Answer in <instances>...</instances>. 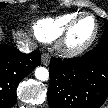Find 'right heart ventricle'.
<instances>
[{
  "instance_id": "obj_1",
  "label": "right heart ventricle",
  "mask_w": 108,
  "mask_h": 108,
  "mask_svg": "<svg viewBox=\"0 0 108 108\" xmlns=\"http://www.w3.org/2000/svg\"><path fill=\"white\" fill-rule=\"evenodd\" d=\"M77 17V14H67L56 17H45L37 20L32 29L34 35L43 42L58 38L65 28Z\"/></svg>"
}]
</instances>
